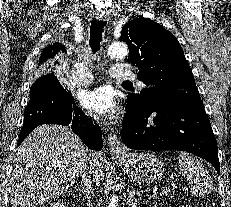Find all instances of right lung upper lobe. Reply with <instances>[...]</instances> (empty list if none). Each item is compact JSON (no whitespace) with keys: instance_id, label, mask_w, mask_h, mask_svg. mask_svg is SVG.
<instances>
[{"instance_id":"right-lung-upper-lobe-1","label":"right lung upper lobe","mask_w":231,"mask_h":207,"mask_svg":"<svg viewBox=\"0 0 231 207\" xmlns=\"http://www.w3.org/2000/svg\"><path fill=\"white\" fill-rule=\"evenodd\" d=\"M66 51V47L61 43H54L47 46L39 59L38 66L39 70H44L47 65H50L61 53ZM57 63V61H55ZM47 74L45 76H48Z\"/></svg>"}]
</instances>
